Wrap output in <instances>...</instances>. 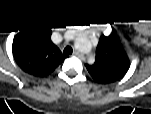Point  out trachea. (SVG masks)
<instances>
[{
    "label": "trachea",
    "mask_w": 151,
    "mask_h": 114,
    "mask_svg": "<svg viewBox=\"0 0 151 114\" xmlns=\"http://www.w3.org/2000/svg\"><path fill=\"white\" fill-rule=\"evenodd\" d=\"M63 52L64 54H72L73 49L70 46H67Z\"/></svg>",
    "instance_id": "3493384b"
}]
</instances>
